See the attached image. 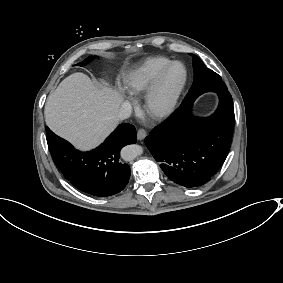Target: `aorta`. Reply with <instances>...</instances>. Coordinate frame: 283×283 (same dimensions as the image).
I'll return each mask as SVG.
<instances>
[{
    "mask_svg": "<svg viewBox=\"0 0 283 283\" xmlns=\"http://www.w3.org/2000/svg\"><path fill=\"white\" fill-rule=\"evenodd\" d=\"M143 153V148L137 144L127 145L121 151V157L125 161H132Z\"/></svg>",
    "mask_w": 283,
    "mask_h": 283,
    "instance_id": "aorta-1",
    "label": "aorta"
}]
</instances>
